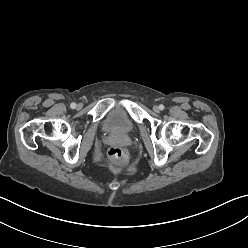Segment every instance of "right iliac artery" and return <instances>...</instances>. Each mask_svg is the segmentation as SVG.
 <instances>
[{"label":"right iliac artery","mask_w":248,"mask_h":248,"mask_svg":"<svg viewBox=\"0 0 248 248\" xmlns=\"http://www.w3.org/2000/svg\"><path fill=\"white\" fill-rule=\"evenodd\" d=\"M70 107H71L72 109H74V108L76 107V104H75V103H71Z\"/></svg>","instance_id":"82829eb1"}]
</instances>
